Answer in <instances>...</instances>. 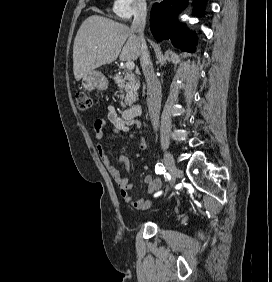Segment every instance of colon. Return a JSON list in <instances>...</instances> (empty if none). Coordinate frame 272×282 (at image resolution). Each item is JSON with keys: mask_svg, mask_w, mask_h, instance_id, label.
Wrapping results in <instances>:
<instances>
[{"mask_svg": "<svg viewBox=\"0 0 272 282\" xmlns=\"http://www.w3.org/2000/svg\"><path fill=\"white\" fill-rule=\"evenodd\" d=\"M76 103L80 110H88L93 106V100L86 92L80 91L76 94Z\"/></svg>", "mask_w": 272, "mask_h": 282, "instance_id": "colon-1", "label": "colon"}]
</instances>
